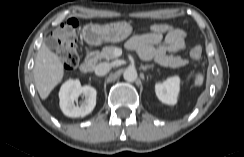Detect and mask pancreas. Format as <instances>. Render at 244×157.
<instances>
[{"instance_id":"1","label":"pancreas","mask_w":244,"mask_h":157,"mask_svg":"<svg viewBox=\"0 0 244 157\" xmlns=\"http://www.w3.org/2000/svg\"><path fill=\"white\" fill-rule=\"evenodd\" d=\"M117 49L115 46H106L102 49L100 53V58H105L107 60L115 59L114 52ZM154 61L163 67L177 68L184 66L189 63L188 60L182 59L180 56L173 55H156Z\"/></svg>"}]
</instances>
